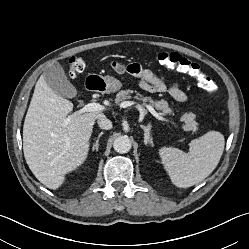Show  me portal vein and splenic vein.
I'll return each mask as SVG.
<instances>
[{"label":"portal vein and splenic vein","mask_w":249,"mask_h":249,"mask_svg":"<svg viewBox=\"0 0 249 249\" xmlns=\"http://www.w3.org/2000/svg\"><path fill=\"white\" fill-rule=\"evenodd\" d=\"M134 103L133 102H124L121 104L122 107H127V106H131L133 105ZM146 108L148 109V111L155 117L157 118L158 120H161V121H168L166 118H164L163 116H161L159 113H157L155 111V109L150 106V105H145ZM137 107L141 113V115H144L145 114V109L143 107V105H140V104H137ZM105 110V107L98 104V103H88L86 104L83 108H81L80 110H78L77 112H75L74 114L70 115L66 120H65V123L67 124L71 119L72 117L76 116V115H80V114H83V113H86V112H93V111H104ZM174 125L177 126L176 123L172 122Z\"/></svg>","instance_id":"1"}]
</instances>
